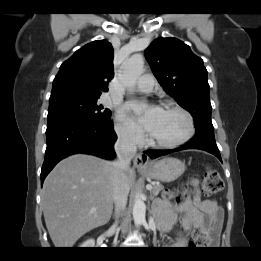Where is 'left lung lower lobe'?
<instances>
[{
    "label": "left lung lower lobe",
    "instance_id": "1",
    "mask_svg": "<svg viewBox=\"0 0 261 261\" xmlns=\"http://www.w3.org/2000/svg\"><path fill=\"white\" fill-rule=\"evenodd\" d=\"M186 149L204 150L206 152L215 155L222 162L219 149L216 145L214 131L196 132L195 136L190 141H188L185 145L173 150H150V151H145L144 153L147 154L151 159H155L162 155H166L172 152H177Z\"/></svg>",
    "mask_w": 261,
    "mask_h": 261
}]
</instances>
